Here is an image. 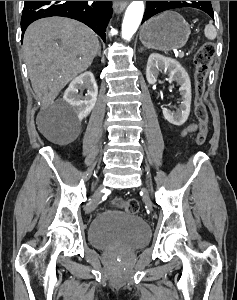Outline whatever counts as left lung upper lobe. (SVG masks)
<instances>
[{"label": "left lung upper lobe", "mask_w": 237, "mask_h": 300, "mask_svg": "<svg viewBox=\"0 0 237 300\" xmlns=\"http://www.w3.org/2000/svg\"><path fill=\"white\" fill-rule=\"evenodd\" d=\"M182 7H193L205 12L212 6L210 1H146V12L142 22L162 11Z\"/></svg>", "instance_id": "obj_1"}]
</instances>
